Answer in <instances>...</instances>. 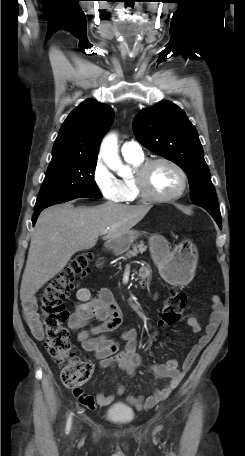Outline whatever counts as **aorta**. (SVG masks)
Wrapping results in <instances>:
<instances>
[{
    "label": "aorta",
    "mask_w": 245,
    "mask_h": 456,
    "mask_svg": "<svg viewBox=\"0 0 245 456\" xmlns=\"http://www.w3.org/2000/svg\"><path fill=\"white\" fill-rule=\"evenodd\" d=\"M101 156L106 165L118 175L124 176L127 172V167L123 165L117 150V137L115 134H110L104 138L101 144Z\"/></svg>",
    "instance_id": "aorta-1"
}]
</instances>
